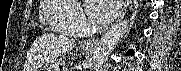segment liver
<instances>
[{
	"label": "liver",
	"instance_id": "6515ba94",
	"mask_svg": "<svg viewBox=\"0 0 181 71\" xmlns=\"http://www.w3.org/2000/svg\"><path fill=\"white\" fill-rule=\"evenodd\" d=\"M75 45L74 39L65 36L43 35L33 44L24 69L26 71H37L42 62L55 60L57 57L71 51ZM36 52H38V55H35Z\"/></svg>",
	"mask_w": 181,
	"mask_h": 71
}]
</instances>
